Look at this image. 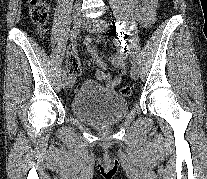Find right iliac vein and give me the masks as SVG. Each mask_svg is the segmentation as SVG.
<instances>
[{"mask_svg": "<svg viewBox=\"0 0 207 179\" xmlns=\"http://www.w3.org/2000/svg\"><path fill=\"white\" fill-rule=\"evenodd\" d=\"M72 20H73L74 27H78L82 22V15L79 12H74L72 14ZM69 86H70V80L67 76H64L62 79V87L64 89H67Z\"/></svg>", "mask_w": 207, "mask_h": 179, "instance_id": "63e3f726", "label": "right iliac vein"}]
</instances>
